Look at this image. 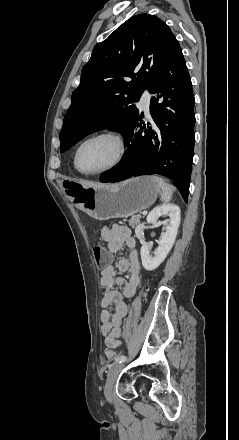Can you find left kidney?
I'll list each match as a JSON object with an SVG mask.
<instances>
[{"mask_svg":"<svg viewBox=\"0 0 239 440\" xmlns=\"http://www.w3.org/2000/svg\"><path fill=\"white\" fill-rule=\"evenodd\" d=\"M161 216H169V224L165 228V232L161 234L158 242V248L151 254L150 246L144 244L141 248L142 266L148 272L156 270L162 262H164L167 254H169L177 236L180 224V208L176 204H162L154 208L147 216L148 224H159L158 220Z\"/></svg>","mask_w":239,"mask_h":440,"instance_id":"5707ae66","label":"left kidney"}]
</instances>
